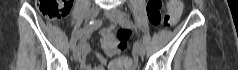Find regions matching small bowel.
<instances>
[{"mask_svg":"<svg viewBox=\"0 0 238 70\" xmlns=\"http://www.w3.org/2000/svg\"><path fill=\"white\" fill-rule=\"evenodd\" d=\"M102 39V47L107 56H114L120 52V48L118 47V39L114 35V28L104 29L101 32ZM82 51L84 56L88 55L91 52L90 44L87 41H83L82 43ZM96 57L99 60V64L90 67L87 63H83L81 66V70H105L107 61L106 59L99 53H96Z\"/></svg>","mask_w":238,"mask_h":70,"instance_id":"obj_1","label":"small bowel"}]
</instances>
